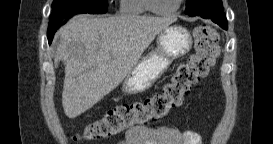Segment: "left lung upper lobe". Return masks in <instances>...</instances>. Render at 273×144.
Wrapping results in <instances>:
<instances>
[{"label":"left lung upper lobe","mask_w":273,"mask_h":144,"mask_svg":"<svg viewBox=\"0 0 273 144\" xmlns=\"http://www.w3.org/2000/svg\"><path fill=\"white\" fill-rule=\"evenodd\" d=\"M210 1L223 9L221 0H210ZM210 6H212V4H206L200 0H187L185 14H188L189 16H195L201 10H204Z\"/></svg>","instance_id":"1"}]
</instances>
